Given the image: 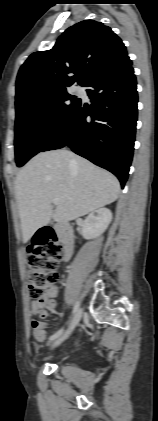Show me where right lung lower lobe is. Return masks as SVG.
<instances>
[{
	"label": "right lung lower lobe",
	"instance_id": "obj_1",
	"mask_svg": "<svg viewBox=\"0 0 158 421\" xmlns=\"http://www.w3.org/2000/svg\"><path fill=\"white\" fill-rule=\"evenodd\" d=\"M84 86L92 87L87 90L91 105L80 102L40 152L68 145L115 174L123 188L133 156L138 101L127 52L106 64ZM88 116L91 121L86 120Z\"/></svg>",
	"mask_w": 158,
	"mask_h": 421
}]
</instances>
